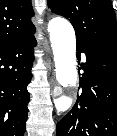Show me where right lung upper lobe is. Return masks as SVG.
Returning <instances> with one entry per match:
<instances>
[{"mask_svg":"<svg viewBox=\"0 0 117 136\" xmlns=\"http://www.w3.org/2000/svg\"><path fill=\"white\" fill-rule=\"evenodd\" d=\"M31 0H0V46L35 30Z\"/></svg>","mask_w":117,"mask_h":136,"instance_id":"right-lung-upper-lobe-1","label":"right lung upper lobe"}]
</instances>
